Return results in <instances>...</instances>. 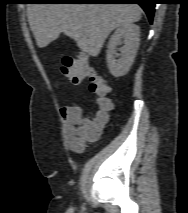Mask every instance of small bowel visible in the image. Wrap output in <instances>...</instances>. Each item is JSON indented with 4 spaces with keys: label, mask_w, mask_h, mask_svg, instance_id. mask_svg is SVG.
I'll use <instances>...</instances> for the list:
<instances>
[{
    "label": "small bowel",
    "mask_w": 188,
    "mask_h": 213,
    "mask_svg": "<svg viewBox=\"0 0 188 213\" xmlns=\"http://www.w3.org/2000/svg\"><path fill=\"white\" fill-rule=\"evenodd\" d=\"M61 116L66 124V136L69 148L73 151H82L86 142L94 141L98 138L105 122L97 119L92 121L83 116V110L78 106H66L60 110ZM74 130L75 136L69 134Z\"/></svg>",
    "instance_id": "small-bowel-1"
}]
</instances>
